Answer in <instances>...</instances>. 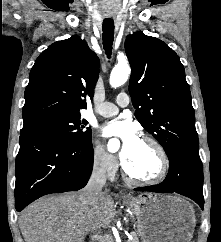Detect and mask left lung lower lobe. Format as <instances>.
I'll return each instance as SVG.
<instances>
[{
    "label": "left lung lower lobe",
    "mask_w": 221,
    "mask_h": 242,
    "mask_svg": "<svg viewBox=\"0 0 221 242\" xmlns=\"http://www.w3.org/2000/svg\"><path fill=\"white\" fill-rule=\"evenodd\" d=\"M169 162V172L162 183L135 188V190L157 193L176 192L191 198L203 209V167L199 150L180 149Z\"/></svg>",
    "instance_id": "0a47b994"
}]
</instances>
